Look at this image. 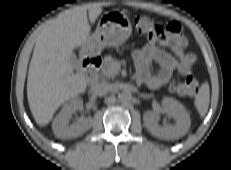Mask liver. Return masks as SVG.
I'll use <instances>...</instances> for the list:
<instances>
[{"instance_id":"6515ba94","label":"liver","mask_w":231,"mask_h":170,"mask_svg":"<svg viewBox=\"0 0 231 170\" xmlns=\"http://www.w3.org/2000/svg\"><path fill=\"white\" fill-rule=\"evenodd\" d=\"M98 6L89 8L94 23L101 14ZM87 7L79 6L48 21L38 35L31 58L27 98L31 113L40 126L47 125L65 102L86 91L87 80L73 72V50L85 45L90 36Z\"/></svg>"}]
</instances>
